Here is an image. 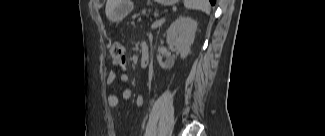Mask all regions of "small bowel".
<instances>
[{"instance_id": "c3829d8e", "label": "small bowel", "mask_w": 325, "mask_h": 136, "mask_svg": "<svg viewBox=\"0 0 325 136\" xmlns=\"http://www.w3.org/2000/svg\"><path fill=\"white\" fill-rule=\"evenodd\" d=\"M115 64L118 66H123L125 64V60L123 62H115ZM117 76L121 83L129 82V75L127 73L122 72L119 75H117V73L115 71H109L106 76V83L108 85L112 84L115 81V79L117 78ZM122 97L124 100H131L133 97L131 90H129V89L124 90L122 93ZM107 103L110 107L114 108L118 105L119 98L115 94H111L107 98ZM143 104H144V98L141 95L137 96L135 98V106L142 107Z\"/></svg>"}]
</instances>
